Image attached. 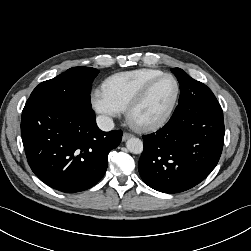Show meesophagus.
<instances>
[{"label": "esophagus", "mask_w": 251, "mask_h": 251, "mask_svg": "<svg viewBox=\"0 0 251 251\" xmlns=\"http://www.w3.org/2000/svg\"><path fill=\"white\" fill-rule=\"evenodd\" d=\"M131 137H132V134L125 132L122 136V141H126L127 139Z\"/></svg>", "instance_id": "1"}]
</instances>
